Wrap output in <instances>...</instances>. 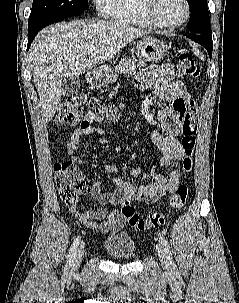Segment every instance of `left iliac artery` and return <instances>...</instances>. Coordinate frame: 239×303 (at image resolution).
<instances>
[{"label": "left iliac artery", "instance_id": "1", "mask_svg": "<svg viewBox=\"0 0 239 303\" xmlns=\"http://www.w3.org/2000/svg\"><path fill=\"white\" fill-rule=\"evenodd\" d=\"M159 242L161 243V245H162V247H163V249H164V252H165L166 255H167V258H168L170 264H171L173 267H175V264H174L173 258H172V253H171V250H170V245H169L167 239L164 238L163 236H160V237H159Z\"/></svg>", "mask_w": 239, "mask_h": 303}]
</instances>
